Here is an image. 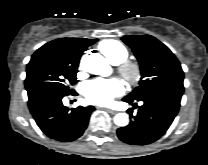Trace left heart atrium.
<instances>
[{
    "instance_id": "39dd6f15",
    "label": "left heart atrium",
    "mask_w": 208,
    "mask_h": 165,
    "mask_svg": "<svg viewBox=\"0 0 208 165\" xmlns=\"http://www.w3.org/2000/svg\"><path fill=\"white\" fill-rule=\"evenodd\" d=\"M123 92V84L118 79H95L87 83L84 88L87 100L97 105H108Z\"/></svg>"
}]
</instances>
